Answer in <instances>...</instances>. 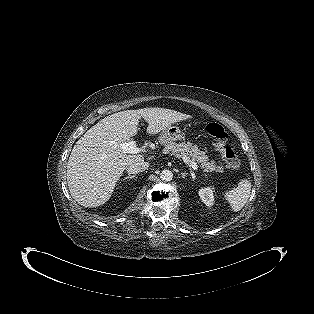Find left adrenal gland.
Returning a JSON list of instances; mask_svg holds the SVG:
<instances>
[{
    "label": "left adrenal gland",
    "instance_id": "a2214340",
    "mask_svg": "<svg viewBox=\"0 0 314 314\" xmlns=\"http://www.w3.org/2000/svg\"><path fill=\"white\" fill-rule=\"evenodd\" d=\"M188 175V173H183V172H181V177L183 178V179H185V177Z\"/></svg>",
    "mask_w": 314,
    "mask_h": 314
}]
</instances>
